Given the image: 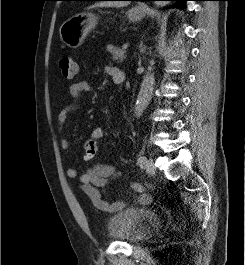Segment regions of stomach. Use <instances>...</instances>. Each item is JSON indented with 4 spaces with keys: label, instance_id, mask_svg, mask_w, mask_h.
I'll list each match as a JSON object with an SVG mask.
<instances>
[{
    "label": "stomach",
    "instance_id": "0dacf381",
    "mask_svg": "<svg viewBox=\"0 0 245 265\" xmlns=\"http://www.w3.org/2000/svg\"><path fill=\"white\" fill-rule=\"evenodd\" d=\"M130 21L136 22L142 19L144 11L132 8L127 13ZM98 16L91 12L78 13L63 22L59 29L61 41L72 49L80 47L87 35L96 27Z\"/></svg>",
    "mask_w": 245,
    "mask_h": 265
}]
</instances>
